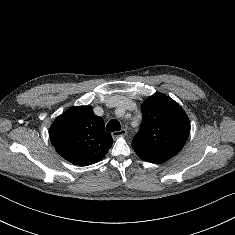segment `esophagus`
<instances>
[{
	"instance_id": "obj_1",
	"label": "esophagus",
	"mask_w": 235,
	"mask_h": 235,
	"mask_svg": "<svg viewBox=\"0 0 235 235\" xmlns=\"http://www.w3.org/2000/svg\"><path fill=\"white\" fill-rule=\"evenodd\" d=\"M126 134H127V130H126V129H121V130H119V131L113 132V133H112V137H113L114 139H116V138H118V137H124V136H126Z\"/></svg>"
}]
</instances>
